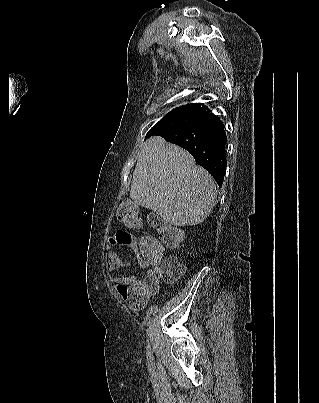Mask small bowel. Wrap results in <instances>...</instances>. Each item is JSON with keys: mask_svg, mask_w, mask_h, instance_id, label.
Listing matches in <instances>:
<instances>
[{"mask_svg": "<svg viewBox=\"0 0 319 403\" xmlns=\"http://www.w3.org/2000/svg\"><path fill=\"white\" fill-rule=\"evenodd\" d=\"M114 237L111 238L112 246L119 249H138V236L133 235V229H114ZM138 266L141 270L155 267L154 261L147 259L142 252L138 253ZM125 264L115 251H109L106 256V268L110 272L118 271ZM117 287V299L126 300V309H145L146 300H150L149 286L145 279H139L137 275H122L113 281Z\"/></svg>", "mask_w": 319, "mask_h": 403, "instance_id": "c3829d8e", "label": "small bowel"}]
</instances>
